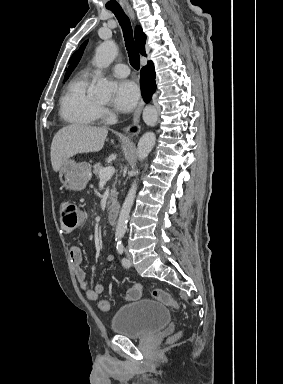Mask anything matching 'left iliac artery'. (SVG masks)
Wrapping results in <instances>:
<instances>
[{
	"mask_svg": "<svg viewBox=\"0 0 283 384\" xmlns=\"http://www.w3.org/2000/svg\"><path fill=\"white\" fill-rule=\"evenodd\" d=\"M117 252L120 255H122L124 252V246H123V243L121 241H118V243H117ZM121 262H122V265L124 267H129V263H128V260L126 258H122Z\"/></svg>",
	"mask_w": 283,
	"mask_h": 384,
	"instance_id": "44dca946",
	"label": "left iliac artery"
}]
</instances>
